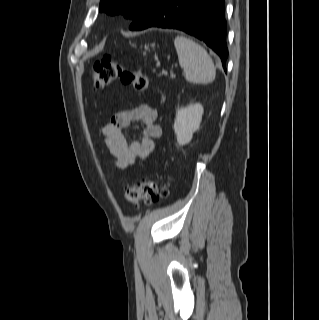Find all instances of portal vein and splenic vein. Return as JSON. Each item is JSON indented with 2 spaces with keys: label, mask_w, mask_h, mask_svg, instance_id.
<instances>
[{
  "label": "portal vein and splenic vein",
  "mask_w": 319,
  "mask_h": 320,
  "mask_svg": "<svg viewBox=\"0 0 319 320\" xmlns=\"http://www.w3.org/2000/svg\"><path fill=\"white\" fill-rule=\"evenodd\" d=\"M172 78H174L175 77V74H173V73H171V75H170Z\"/></svg>",
  "instance_id": "portal-vein-and-splenic-vein-1"
}]
</instances>
